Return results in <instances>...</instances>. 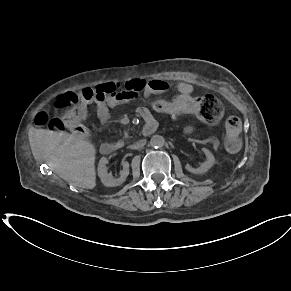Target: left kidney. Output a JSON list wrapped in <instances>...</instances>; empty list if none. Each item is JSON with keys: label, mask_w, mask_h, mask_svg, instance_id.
Wrapping results in <instances>:
<instances>
[{"label": "left kidney", "mask_w": 291, "mask_h": 291, "mask_svg": "<svg viewBox=\"0 0 291 291\" xmlns=\"http://www.w3.org/2000/svg\"><path fill=\"white\" fill-rule=\"evenodd\" d=\"M202 151L206 155L207 160L203 162L198 168H192L191 166L187 165L186 169L194 174H204L206 173L215 163V158L213 154L206 148H203Z\"/></svg>", "instance_id": "1"}]
</instances>
